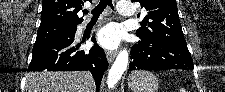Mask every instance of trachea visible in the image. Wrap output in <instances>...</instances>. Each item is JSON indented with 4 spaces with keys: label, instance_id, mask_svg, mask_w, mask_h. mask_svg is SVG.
Returning <instances> with one entry per match:
<instances>
[{
    "label": "trachea",
    "instance_id": "3493384b",
    "mask_svg": "<svg viewBox=\"0 0 225 92\" xmlns=\"http://www.w3.org/2000/svg\"><path fill=\"white\" fill-rule=\"evenodd\" d=\"M107 5L114 10L112 0H100L99 4L91 11L93 15L92 19L99 17V15L102 14ZM83 13L87 14L88 10H84Z\"/></svg>",
    "mask_w": 225,
    "mask_h": 92
}]
</instances>
